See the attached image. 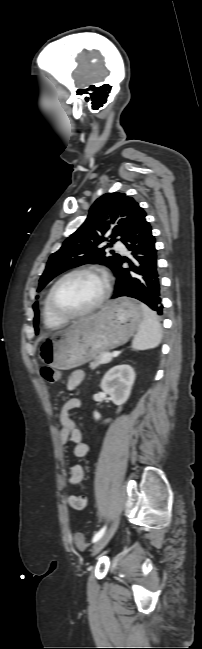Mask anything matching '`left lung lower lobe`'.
<instances>
[{"mask_svg":"<svg viewBox=\"0 0 202 649\" xmlns=\"http://www.w3.org/2000/svg\"><path fill=\"white\" fill-rule=\"evenodd\" d=\"M145 216L136 220L121 240L128 250L132 251V257L131 259L120 257L112 268L117 277L112 299L122 296L133 297L161 315L163 306L159 297L160 276L157 269L155 239ZM124 262L128 263L129 268L122 267Z\"/></svg>","mask_w":202,"mask_h":649,"instance_id":"1","label":"left lung lower lobe"}]
</instances>
